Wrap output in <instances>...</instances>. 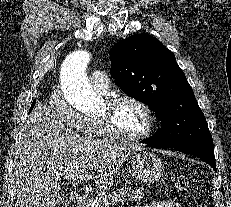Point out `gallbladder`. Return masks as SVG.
<instances>
[{
  "instance_id": "bac80fb5",
  "label": "gallbladder",
  "mask_w": 231,
  "mask_h": 207,
  "mask_svg": "<svg viewBox=\"0 0 231 207\" xmlns=\"http://www.w3.org/2000/svg\"><path fill=\"white\" fill-rule=\"evenodd\" d=\"M61 201L59 202V207H68L75 203L76 196L72 193H65L61 195Z\"/></svg>"
}]
</instances>
